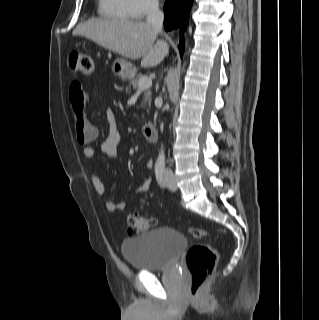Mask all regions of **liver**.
Here are the masks:
<instances>
[{
  "instance_id": "liver-1",
  "label": "liver",
  "mask_w": 319,
  "mask_h": 320,
  "mask_svg": "<svg viewBox=\"0 0 319 320\" xmlns=\"http://www.w3.org/2000/svg\"><path fill=\"white\" fill-rule=\"evenodd\" d=\"M146 22L127 19H90L77 25L73 36L86 37L125 58H142V66H157L168 55L169 46Z\"/></svg>"
}]
</instances>
